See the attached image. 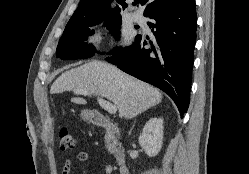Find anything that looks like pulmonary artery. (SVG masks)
Returning a JSON list of instances; mask_svg holds the SVG:
<instances>
[{"label":"pulmonary artery","instance_id":"obj_1","mask_svg":"<svg viewBox=\"0 0 249 174\" xmlns=\"http://www.w3.org/2000/svg\"><path fill=\"white\" fill-rule=\"evenodd\" d=\"M132 19H133V21H135L137 23H141V24L145 22L144 17L139 13H134L132 15Z\"/></svg>","mask_w":249,"mask_h":174}]
</instances>
